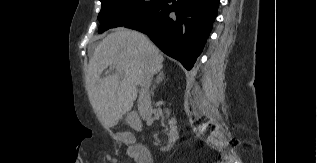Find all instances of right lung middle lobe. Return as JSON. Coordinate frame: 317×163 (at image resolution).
I'll use <instances>...</instances> for the list:
<instances>
[{"mask_svg":"<svg viewBox=\"0 0 317 163\" xmlns=\"http://www.w3.org/2000/svg\"><path fill=\"white\" fill-rule=\"evenodd\" d=\"M99 33L125 26L153 12L164 0H100Z\"/></svg>","mask_w":317,"mask_h":163,"instance_id":"1","label":"right lung middle lobe"}]
</instances>
